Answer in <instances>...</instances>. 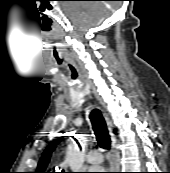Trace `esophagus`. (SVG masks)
Segmentation results:
<instances>
[{
    "label": "esophagus",
    "instance_id": "34e87169",
    "mask_svg": "<svg viewBox=\"0 0 170 173\" xmlns=\"http://www.w3.org/2000/svg\"><path fill=\"white\" fill-rule=\"evenodd\" d=\"M104 116H105V119H106V122H107V125H108V129H109V131L111 133L112 132V129H113L112 123L109 120V118H108V116H107L106 113H104ZM112 153H114V144L112 145ZM113 156H114V154H113ZM112 163H114V158H113Z\"/></svg>",
    "mask_w": 170,
    "mask_h": 173
}]
</instances>
